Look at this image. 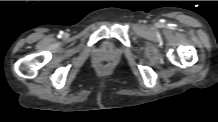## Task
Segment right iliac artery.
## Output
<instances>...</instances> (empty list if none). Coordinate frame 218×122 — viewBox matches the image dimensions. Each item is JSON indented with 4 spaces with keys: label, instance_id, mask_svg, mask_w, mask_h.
<instances>
[{
    "label": "right iliac artery",
    "instance_id": "82829eb1",
    "mask_svg": "<svg viewBox=\"0 0 218 122\" xmlns=\"http://www.w3.org/2000/svg\"><path fill=\"white\" fill-rule=\"evenodd\" d=\"M62 34H63V31H60L58 37H61Z\"/></svg>",
    "mask_w": 218,
    "mask_h": 122
}]
</instances>
